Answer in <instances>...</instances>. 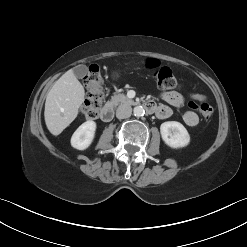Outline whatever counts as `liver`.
<instances>
[{
    "instance_id": "obj_1",
    "label": "liver",
    "mask_w": 247,
    "mask_h": 247,
    "mask_svg": "<svg viewBox=\"0 0 247 247\" xmlns=\"http://www.w3.org/2000/svg\"><path fill=\"white\" fill-rule=\"evenodd\" d=\"M82 84L68 70L52 86L45 102V123L51 134L57 136L77 117L84 102Z\"/></svg>"
}]
</instances>
